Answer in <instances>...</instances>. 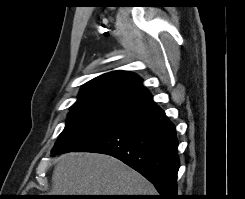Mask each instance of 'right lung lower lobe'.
Segmentation results:
<instances>
[{
  "label": "right lung lower lobe",
  "mask_w": 245,
  "mask_h": 199,
  "mask_svg": "<svg viewBox=\"0 0 245 199\" xmlns=\"http://www.w3.org/2000/svg\"><path fill=\"white\" fill-rule=\"evenodd\" d=\"M178 140L175 126L157 105L127 116L97 139L74 150L111 155L129 165L160 193L178 199Z\"/></svg>",
  "instance_id": "obj_1"
}]
</instances>
